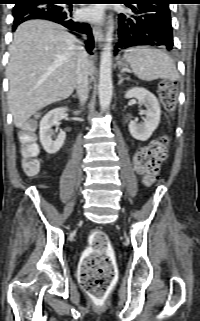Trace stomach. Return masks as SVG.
<instances>
[{
  "mask_svg": "<svg viewBox=\"0 0 200 321\" xmlns=\"http://www.w3.org/2000/svg\"><path fill=\"white\" fill-rule=\"evenodd\" d=\"M118 65H119V67H121L122 69H125V68L128 67V64H127V62H126L125 60H120V61L118 62Z\"/></svg>",
  "mask_w": 200,
  "mask_h": 321,
  "instance_id": "obj_1",
  "label": "stomach"
}]
</instances>
